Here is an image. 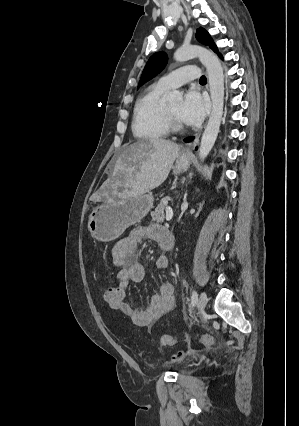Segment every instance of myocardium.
<instances>
[{"label": "myocardium", "instance_id": "myocardium-1", "mask_svg": "<svg viewBox=\"0 0 299 426\" xmlns=\"http://www.w3.org/2000/svg\"><path fill=\"white\" fill-rule=\"evenodd\" d=\"M165 122L169 131L180 132L183 130V125L175 118L169 104H166L165 108Z\"/></svg>", "mask_w": 299, "mask_h": 426}]
</instances>
